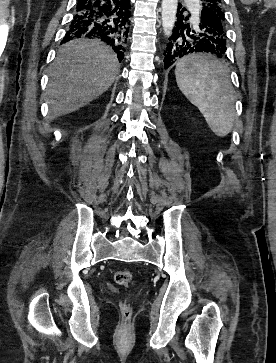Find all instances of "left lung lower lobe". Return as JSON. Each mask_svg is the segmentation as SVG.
Wrapping results in <instances>:
<instances>
[{
	"mask_svg": "<svg viewBox=\"0 0 276 363\" xmlns=\"http://www.w3.org/2000/svg\"><path fill=\"white\" fill-rule=\"evenodd\" d=\"M178 5L177 21L172 35L164 51V69H168L180 58L197 52L214 53L218 57H226V42L222 38V26L215 14L202 9L201 17L194 23L187 21L190 17L183 15L185 8Z\"/></svg>",
	"mask_w": 276,
	"mask_h": 363,
	"instance_id": "left-lung-lower-lobe-1",
	"label": "left lung lower lobe"
}]
</instances>
